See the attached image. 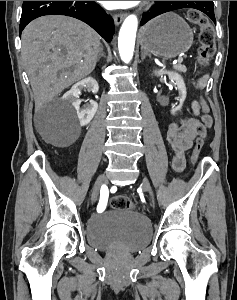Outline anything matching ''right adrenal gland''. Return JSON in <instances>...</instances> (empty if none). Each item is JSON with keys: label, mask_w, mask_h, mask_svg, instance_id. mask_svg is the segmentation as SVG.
<instances>
[{"label": "right adrenal gland", "mask_w": 237, "mask_h": 300, "mask_svg": "<svg viewBox=\"0 0 237 300\" xmlns=\"http://www.w3.org/2000/svg\"><path fill=\"white\" fill-rule=\"evenodd\" d=\"M100 57H104V51H103L102 45H100V53H99V55H98L97 61H99Z\"/></svg>", "instance_id": "1"}]
</instances>
